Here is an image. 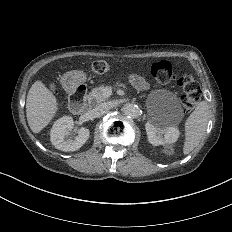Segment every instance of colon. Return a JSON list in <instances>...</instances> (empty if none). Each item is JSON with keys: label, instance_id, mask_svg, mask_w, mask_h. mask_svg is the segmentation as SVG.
I'll return each instance as SVG.
<instances>
[{"label": "colon", "instance_id": "1", "mask_svg": "<svg viewBox=\"0 0 232 232\" xmlns=\"http://www.w3.org/2000/svg\"><path fill=\"white\" fill-rule=\"evenodd\" d=\"M88 70L90 73L111 72L107 61H92V65H88ZM156 81L178 84L187 88L183 89L182 101L184 106H182V111H197V107H200L201 87L190 73L163 69ZM46 85L47 89H54V84Z\"/></svg>", "mask_w": 232, "mask_h": 232}]
</instances>
